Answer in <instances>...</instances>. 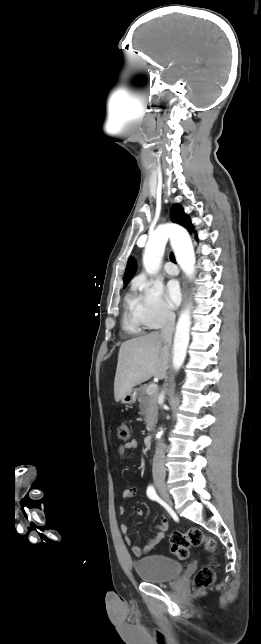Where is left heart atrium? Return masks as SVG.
Here are the masks:
<instances>
[{"label": "left heart atrium", "instance_id": "1", "mask_svg": "<svg viewBox=\"0 0 261 644\" xmlns=\"http://www.w3.org/2000/svg\"><path fill=\"white\" fill-rule=\"evenodd\" d=\"M167 299L171 307H176L181 300L180 285L177 280H170L167 284Z\"/></svg>", "mask_w": 261, "mask_h": 644}]
</instances>
